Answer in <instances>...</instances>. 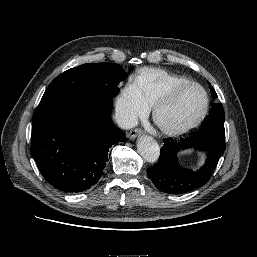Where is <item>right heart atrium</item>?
Instances as JSON below:
<instances>
[{"mask_svg": "<svg viewBox=\"0 0 257 257\" xmlns=\"http://www.w3.org/2000/svg\"><path fill=\"white\" fill-rule=\"evenodd\" d=\"M115 107L120 120L126 126L133 125L150 111V106L133 81L123 85L116 97Z\"/></svg>", "mask_w": 257, "mask_h": 257, "instance_id": "obj_1", "label": "right heart atrium"}]
</instances>
